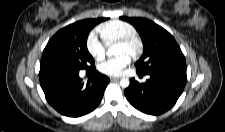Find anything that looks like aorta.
Returning a JSON list of instances; mask_svg holds the SVG:
<instances>
[{
	"label": "aorta",
	"instance_id": "1",
	"mask_svg": "<svg viewBox=\"0 0 225 132\" xmlns=\"http://www.w3.org/2000/svg\"><path fill=\"white\" fill-rule=\"evenodd\" d=\"M107 55L109 57L113 56V55H118V51H117L116 47L115 46L110 47L107 51ZM129 84H130V82H129V79H127V78H122L120 80V86L122 88H127L129 86Z\"/></svg>",
	"mask_w": 225,
	"mask_h": 132
}]
</instances>
